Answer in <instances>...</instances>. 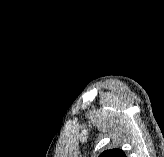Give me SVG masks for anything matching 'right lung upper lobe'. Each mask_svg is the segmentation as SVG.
I'll use <instances>...</instances> for the list:
<instances>
[{
	"label": "right lung upper lobe",
	"instance_id": "1",
	"mask_svg": "<svg viewBox=\"0 0 164 157\" xmlns=\"http://www.w3.org/2000/svg\"><path fill=\"white\" fill-rule=\"evenodd\" d=\"M98 157H127L120 149H110L101 153Z\"/></svg>",
	"mask_w": 164,
	"mask_h": 157
}]
</instances>
